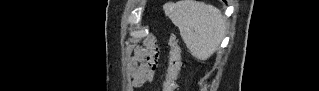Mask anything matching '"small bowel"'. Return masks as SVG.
I'll return each instance as SVG.
<instances>
[{"mask_svg":"<svg viewBox=\"0 0 319 91\" xmlns=\"http://www.w3.org/2000/svg\"><path fill=\"white\" fill-rule=\"evenodd\" d=\"M150 43L155 45L156 48H157L156 38L155 37H150L147 40L146 44L148 46L150 45ZM142 54H137L135 59L132 62V65H131V69H132V72H133V75H134V83H135V85H140V84L144 83L145 81L150 80L153 77V75H154V73L156 71V67L153 68V69H150V70H144V69L141 68L139 59L142 56ZM138 63H139V65H138Z\"/></svg>","mask_w":319,"mask_h":91,"instance_id":"small-bowel-1","label":"small bowel"}]
</instances>
